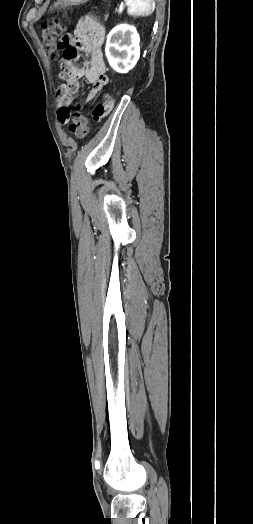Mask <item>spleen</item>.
Returning <instances> with one entry per match:
<instances>
[{
  "label": "spleen",
  "instance_id": "spleen-1",
  "mask_svg": "<svg viewBox=\"0 0 253 524\" xmlns=\"http://www.w3.org/2000/svg\"><path fill=\"white\" fill-rule=\"evenodd\" d=\"M128 9L127 12L132 16L146 17L153 13L155 3L153 0H125Z\"/></svg>",
  "mask_w": 253,
  "mask_h": 524
}]
</instances>
